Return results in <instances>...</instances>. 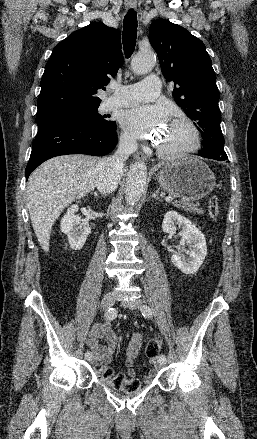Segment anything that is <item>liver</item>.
Listing matches in <instances>:
<instances>
[{"label": "liver", "mask_w": 257, "mask_h": 439, "mask_svg": "<svg viewBox=\"0 0 257 439\" xmlns=\"http://www.w3.org/2000/svg\"><path fill=\"white\" fill-rule=\"evenodd\" d=\"M103 160L85 155H64L40 165L29 177L27 206L40 246L49 251L54 222L72 202L97 184Z\"/></svg>", "instance_id": "liver-1"}]
</instances>
